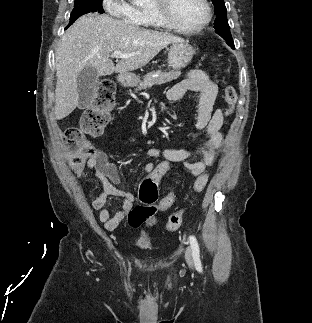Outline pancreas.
<instances>
[{
	"label": "pancreas",
	"instance_id": "obj_1",
	"mask_svg": "<svg viewBox=\"0 0 312 323\" xmlns=\"http://www.w3.org/2000/svg\"><path fill=\"white\" fill-rule=\"evenodd\" d=\"M181 76V72H150L143 76V82H140L135 92L139 90H146V88H152L153 84H166V82H172Z\"/></svg>",
	"mask_w": 312,
	"mask_h": 323
}]
</instances>
